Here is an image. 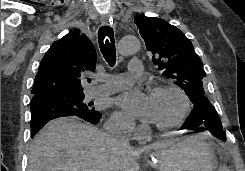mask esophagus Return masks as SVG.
Segmentation results:
<instances>
[{
	"instance_id": "1",
	"label": "esophagus",
	"mask_w": 245,
	"mask_h": 171,
	"mask_svg": "<svg viewBox=\"0 0 245 171\" xmlns=\"http://www.w3.org/2000/svg\"><path fill=\"white\" fill-rule=\"evenodd\" d=\"M101 23H102V25H105V26H107L109 24H112V22H111L110 18L108 17V15H102Z\"/></svg>"
}]
</instances>
